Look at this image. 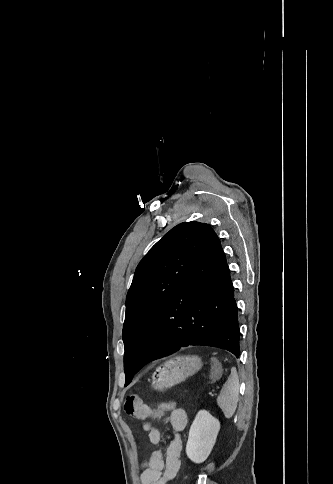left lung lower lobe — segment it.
<instances>
[{"label": "left lung lower lobe", "mask_w": 333, "mask_h": 484, "mask_svg": "<svg viewBox=\"0 0 333 484\" xmlns=\"http://www.w3.org/2000/svg\"><path fill=\"white\" fill-rule=\"evenodd\" d=\"M170 294L140 351V365L190 345L217 347L239 357L240 332L234 288L225 254L212 228L189 259Z\"/></svg>", "instance_id": "left-lung-lower-lobe-1"}]
</instances>
